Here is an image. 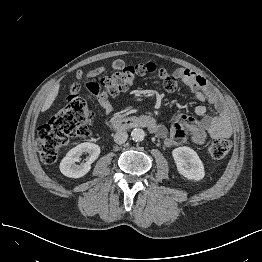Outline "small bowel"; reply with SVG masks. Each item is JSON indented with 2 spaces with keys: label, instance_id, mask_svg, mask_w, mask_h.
Wrapping results in <instances>:
<instances>
[{
  "label": "small bowel",
  "instance_id": "small-bowel-1",
  "mask_svg": "<svg viewBox=\"0 0 262 262\" xmlns=\"http://www.w3.org/2000/svg\"><path fill=\"white\" fill-rule=\"evenodd\" d=\"M104 72V67H99L90 72L91 76H96ZM158 76L162 80L164 89L172 93L177 89L178 82L187 85L194 97L215 107L217 114L210 115L205 106H197L194 114L200 118L197 123L193 118L182 116L178 118L171 127L159 124L151 113H145L143 118L151 123L150 131L164 141L168 147L183 143L187 136L198 144H203L209 135L211 138H230L233 134L227 114V103L208 84L207 80L190 68H179L168 73L165 68L158 69ZM103 109L110 114L112 109L108 103L103 104Z\"/></svg>",
  "mask_w": 262,
  "mask_h": 262
}]
</instances>
